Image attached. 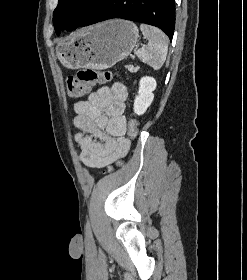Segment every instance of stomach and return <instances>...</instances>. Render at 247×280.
Returning <instances> with one entry per match:
<instances>
[{
  "mask_svg": "<svg viewBox=\"0 0 247 280\" xmlns=\"http://www.w3.org/2000/svg\"><path fill=\"white\" fill-rule=\"evenodd\" d=\"M138 38L133 22L112 20L81 29L70 42L60 44L57 53L67 68L103 70L125 59Z\"/></svg>",
  "mask_w": 247,
  "mask_h": 280,
  "instance_id": "stomach-1",
  "label": "stomach"
}]
</instances>
